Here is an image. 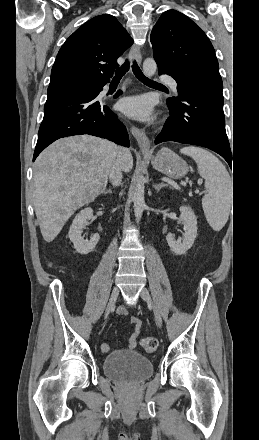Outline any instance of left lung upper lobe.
Masks as SVG:
<instances>
[{
  "label": "left lung upper lobe",
  "instance_id": "left-lung-upper-lobe-1",
  "mask_svg": "<svg viewBox=\"0 0 259 440\" xmlns=\"http://www.w3.org/2000/svg\"><path fill=\"white\" fill-rule=\"evenodd\" d=\"M154 59L176 80L178 88L203 83L223 88L214 48L190 18L176 10L164 12L151 37ZM179 103V96L168 99Z\"/></svg>",
  "mask_w": 259,
  "mask_h": 440
}]
</instances>
